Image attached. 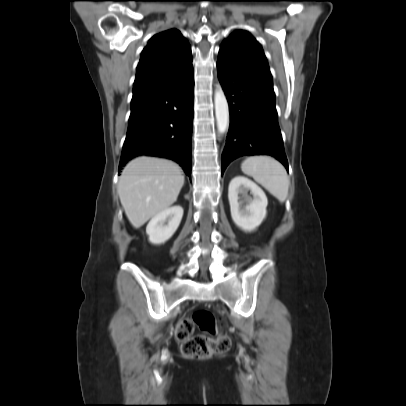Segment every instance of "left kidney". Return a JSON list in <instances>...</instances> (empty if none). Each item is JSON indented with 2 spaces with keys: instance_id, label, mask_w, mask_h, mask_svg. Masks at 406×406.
Here are the masks:
<instances>
[{
  "instance_id": "left-kidney-1",
  "label": "left kidney",
  "mask_w": 406,
  "mask_h": 406,
  "mask_svg": "<svg viewBox=\"0 0 406 406\" xmlns=\"http://www.w3.org/2000/svg\"><path fill=\"white\" fill-rule=\"evenodd\" d=\"M253 197L248 196V192ZM228 199L231 217L243 231H254L265 219L268 204L263 190L243 176L234 177L229 184Z\"/></svg>"
}]
</instances>
